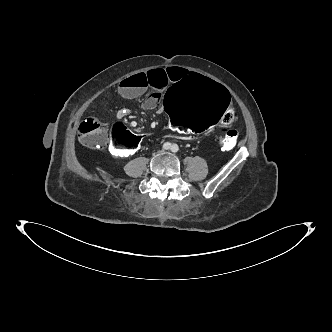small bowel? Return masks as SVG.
Masks as SVG:
<instances>
[{
    "label": "small bowel",
    "mask_w": 332,
    "mask_h": 332,
    "mask_svg": "<svg viewBox=\"0 0 332 332\" xmlns=\"http://www.w3.org/2000/svg\"><path fill=\"white\" fill-rule=\"evenodd\" d=\"M189 74L187 69L181 67L151 69L123 79L117 86V93L124 99H134L151 90L152 94L143 102V108L151 110L157 107L165 91ZM124 116V110L121 109L117 112L118 118L122 119ZM133 128L138 131L136 126ZM170 129L177 131L171 124Z\"/></svg>",
    "instance_id": "small-bowel-1"
}]
</instances>
